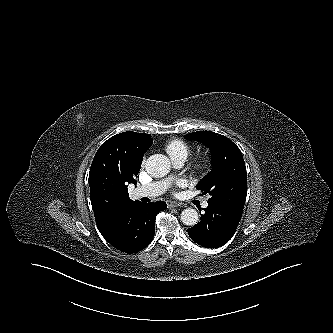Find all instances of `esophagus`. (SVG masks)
<instances>
[{
    "mask_svg": "<svg viewBox=\"0 0 333 333\" xmlns=\"http://www.w3.org/2000/svg\"><path fill=\"white\" fill-rule=\"evenodd\" d=\"M182 204L179 202H175V201H167V207L168 208H172V207H178L181 206Z\"/></svg>",
    "mask_w": 333,
    "mask_h": 333,
    "instance_id": "1",
    "label": "esophagus"
}]
</instances>
